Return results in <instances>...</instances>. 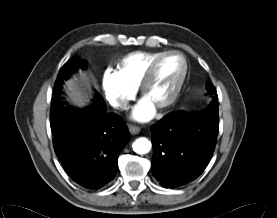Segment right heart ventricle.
<instances>
[{"label": "right heart ventricle", "mask_w": 277, "mask_h": 218, "mask_svg": "<svg viewBox=\"0 0 277 218\" xmlns=\"http://www.w3.org/2000/svg\"><path fill=\"white\" fill-rule=\"evenodd\" d=\"M162 52L137 51L123 57L118 66V73L131 87L137 88L151 61Z\"/></svg>", "instance_id": "obj_1"}]
</instances>
